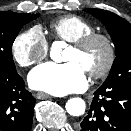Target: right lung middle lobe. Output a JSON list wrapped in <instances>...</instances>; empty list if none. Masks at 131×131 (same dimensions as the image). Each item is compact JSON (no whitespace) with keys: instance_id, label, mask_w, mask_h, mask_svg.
Masks as SVG:
<instances>
[{"instance_id":"obj_1","label":"right lung middle lobe","mask_w":131,"mask_h":131,"mask_svg":"<svg viewBox=\"0 0 131 131\" xmlns=\"http://www.w3.org/2000/svg\"><path fill=\"white\" fill-rule=\"evenodd\" d=\"M39 17V14L0 12V70L14 72L15 64L12 57V44L28 22Z\"/></svg>"}]
</instances>
